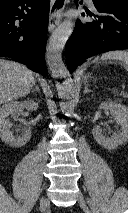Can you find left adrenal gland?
Instances as JSON below:
<instances>
[{"label": "left adrenal gland", "mask_w": 128, "mask_h": 213, "mask_svg": "<svg viewBox=\"0 0 128 213\" xmlns=\"http://www.w3.org/2000/svg\"><path fill=\"white\" fill-rule=\"evenodd\" d=\"M84 87H85V89H84V91H83V94H86V93L92 92L90 89H88V86H87V84H86V83H84Z\"/></svg>", "instance_id": "obj_1"}]
</instances>
